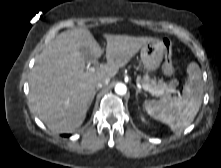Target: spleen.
Listing matches in <instances>:
<instances>
[{"label": "spleen", "mask_w": 221, "mask_h": 168, "mask_svg": "<svg viewBox=\"0 0 221 168\" xmlns=\"http://www.w3.org/2000/svg\"><path fill=\"white\" fill-rule=\"evenodd\" d=\"M188 78L181 97H169L144 102V109L155 120L167 124L175 133L182 132L195 118L203 97V80L200 67L191 62Z\"/></svg>", "instance_id": "1"}]
</instances>
